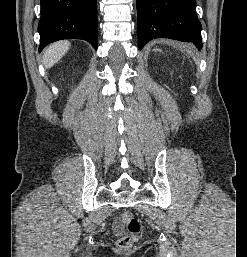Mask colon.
Listing matches in <instances>:
<instances>
[{
	"label": "colon",
	"instance_id": "obj_1",
	"mask_svg": "<svg viewBox=\"0 0 247 257\" xmlns=\"http://www.w3.org/2000/svg\"><path fill=\"white\" fill-rule=\"evenodd\" d=\"M121 221L127 227V233L117 240V248L121 251L130 249L137 241L141 230L140 221L130 211H125L121 215Z\"/></svg>",
	"mask_w": 247,
	"mask_h": 257
}]
</instances>
